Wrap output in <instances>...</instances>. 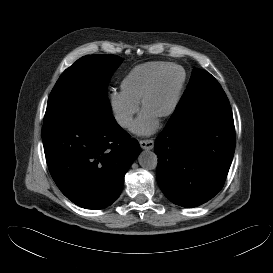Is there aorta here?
I'll return each mask as SVG.
<instances>
[{
	"label": "aorta",
	"instance_id": "obj_1",
	"mask_svg": "<svg viewBox=\"0 0 273 273\" xmlns=\"http://www.w3.org/2000/svg\"><path fill=\"white\" fill-rule=\"evenodd\" d=\"M139 164L146 169H153L157 165V156L154 152L144 150L138 157Z\"/></svg>",
	"mask_w": 273,
	"mask_h": 273
}]
</instances>
